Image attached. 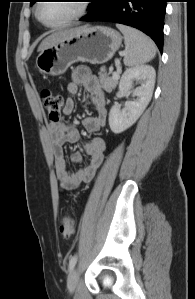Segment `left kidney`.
I'll return each instance as SVG.
<instances>
[{
  "label": "left kidney",
  "instance_id": "obj_1",
  "mask_svg": "<svg viewBox=\"0 0 195 299\" xmlns=\"http://www.w3.org/2000/svg\"><path fill=\"white\" fill-rule=\"evenodd\" d=\"M156 72L150 65H141L127 69L119 83V91L132 93L136 99L127 101L123 109L120 105H113L109 112V126L113 133L119 134L131 127L141 116L149 104L155 84ZM137 80L140 86L133 89V82Z\"/></svg>",
  "mask_w": 195,
  "mask_h": 299
}]
</instances>
